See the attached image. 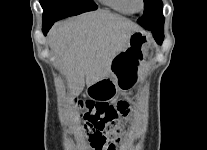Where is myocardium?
<instances>
[{
	"mask_svg": "<svg viewBox=\"0 0 207 150\" xmlns=\"http://www.w3.org/2000/svg\"><path fill=\"white\" fill-rule=\"evenodd\" d=\"M128 2L133 12L139 13L145 9V0H128ZM137 2L139 5H137Z\"/></svg>",
	"mask_w": 207,
	"mask_h": 150,
	"instance_id": "obj_1",
	"label": "myocardium"
}]
</instances>
